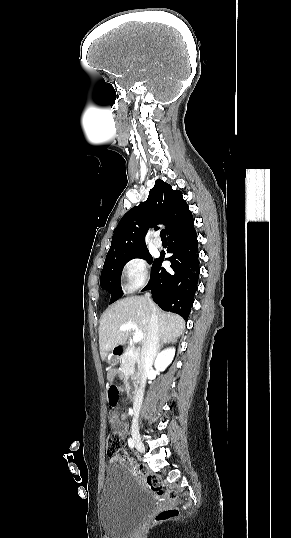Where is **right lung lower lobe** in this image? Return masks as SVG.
Here are the masks:
<instances>
[{"instance_id": "98d812e1", "label": "right lung lower lobe", "mask_w": 291, "mask_h": 538, "mask_svg": "<svg viewBox=\"0 0 291 538\" xmlns=\"http://www.w3.org/2000/svg\"><path fill=\"white\" fill-rule=\"evenodd\" d=\"M193 223L168 235V252L173 255L165 260L171 262V269L161 267L164 255L155 259L150 281L144 288L151 290L153 300L163 310L177 313L184 319L190 314L200 273Z\"/></svg>"}]
</instances>
